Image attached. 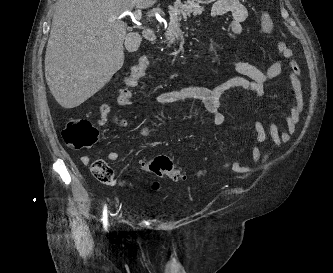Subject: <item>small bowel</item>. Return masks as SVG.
<instances>
[{
  "instance_id": "1",
  "label": "small bowel",
  "mask_w": 333,
  "mask_h": 273,
  "mask_svg": "<svg viewBox=\"0 0 333 273\" xmlns=\"http://www.w3.org/2000/svg\"><path fill=\"white\" fill-rule=\"evenodd\" d=\"M211 13L214 17H220L225 14H230V20L224 30L227 39L233 44L236 35L242 34L244 31V22L248 18V11L240 0H217L213 6ZM277 51L282 55L287 63V77L289 80V89L291 93V105L286 111L284 116L283 126L280 128L274 121H268V132L264 124L255 120L253 127L256 132V144L251 149V155L256 164L267 161L272 152L264 155L261 154L259 144L264 142L267 134L271 137L274 145L280 147L282 144L289 142L292 135L295 133L299 124L300 117L304 107L303 92L300 82L301 69L297 62L294 60V52L284 41H279L276 44ZM146 60L142 58L140 62H134L131 70L128 71L126 84H122L116 93V101L120 106H129L131 104V91H136L137 81L140 77H145L147 69H149V62H141ZM231 63L237 73L219 84L218 86L210 89L200 86H188L177 90L164 91L157 93L152 102L159 105H175L186 100H199L203 103L205 109L211 115L214 125H222L225 121V116L221 112L222 97L231 89H241L246 92L253 93L259 97L265 95V84L277 78L283 71V63L275 61L270 64L265 70L243 61L239 58L237 52L234 50L231 56ZM111 105L109 101L101 103L99 111H97V123H108V118H114V111H109ZM117 126L127 128L130 126L129 121L125 119H116ZM141 136L147 138L149 130L145 126L139 128ZM107 158L111 162L119 159V153L111 151L108 153ZM81 162L84 165H89L91 159L89 156H82ZM219 169H232L238 172H250L254 170L252 166H244L240 160H229L221 164ZM206 173L205 169H199L193 172V176L201 177ZM156 180H151L148 186L151 187L152 183Z\"/></svg>"
}]
</instances>
